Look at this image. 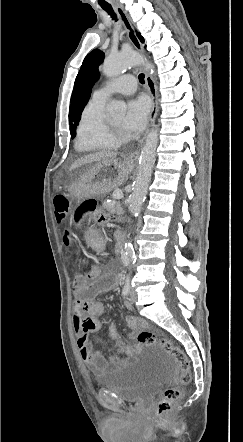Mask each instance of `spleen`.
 <instances>
[{
    "instance_id": "3e777b00",
    "label": "spleen",
    "mask_w": 243,
    "mask_h": 442,
    "mask_svg": "<svg viewBox=\"0 0 243 442\" xmlns=\"http://www.w3.org/2000/svg\"><path fill=\"white\" fill-rule=\"evenodd\" d=\"M84 236L85 237H96L97 236V229L96 228H85L84 229ZM98 246H100L102 243L98 241L96 243ZM90 266L93 264L91 261L88 263Z\"/></svg>"
}]
</instances>
